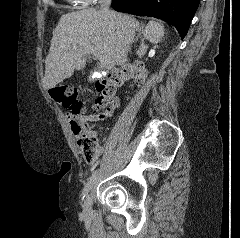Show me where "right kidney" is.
Segmentation results:
<instances>
[{"label": "right kidney", "mask_w": 240, "mask_h": 238, "mask_svg": "<svg viewBox=\"0 0 240 238\" xmlns=\"http://www.w3.org/2000/svg\"><path fill=\"white\" fill-rule=\"evenodd\" d=\"M145 39L157 44L164 36V26L156 21H150L143 32Z\"/></svg>", "instance_id": "right-kidney-1"}]
</instances>
